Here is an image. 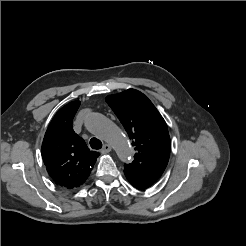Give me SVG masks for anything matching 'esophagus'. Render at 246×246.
Returning a JSON list of instances; mask_svg holds the SVG:
<instances>
[{"label": "esophagus", "instance_id": "1", "mask_svg": "<svg viewBox=\"0 0 246 246\" xmlns=\"http://www.w3.org/2000/svg\"><path fill=\"white\" fill-rule=\"evenodd\" d=\"M111 146L109 144H105L101 150V153L102 154H107L111 151Z\"/></svg>", "mask_w": 246, "mask_h": 246}]
</instances>
